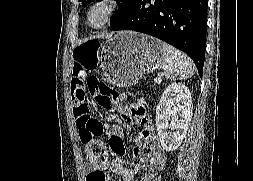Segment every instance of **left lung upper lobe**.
Wrapping results in <instances>:
<instances>
[{"label":"left lung upper lobe","instance_id":"5c2ea615","mask_svg":"<svg viewBox=\"0 0 253 181\" xmlns=\"http://www.w3.org/2000/svg\"><path fill=\"white\" fill-rule=\"evenodd\" d=\"M82 1L83 6L88 5L92 0H80ZM118 1V10L114 12L110 20V27H114L120 23L123 18L129 13L132 9L135 0H117Z\"/></svg>","mask_w":253,"mask_h":181}]
</instances>
